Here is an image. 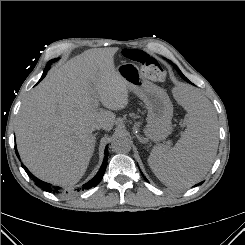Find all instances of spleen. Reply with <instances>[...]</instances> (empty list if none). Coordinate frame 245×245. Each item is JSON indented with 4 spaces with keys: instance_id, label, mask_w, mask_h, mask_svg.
Returning a JSON list of instances; mask_svg holds the SVG:
<instances>
[{
    "instance_id": "spleen-1",
    "label": "spleen",
    "mask_w": 245,
    "mask_h": 245,
    "mask_svg": "<svg viewBox=\"0 0 245 245\" xmlns=\"http://www.w3.org/2000/svg\"><path fill=\"white\" fill-rule=\"evenodd\" d=\"M187 128L171 149L157 145L148 157L156 177L170 189H184L209 171L218 148L217 116L210 101L198 90L184 89Z\"/></svg>"
}]
</instances>
